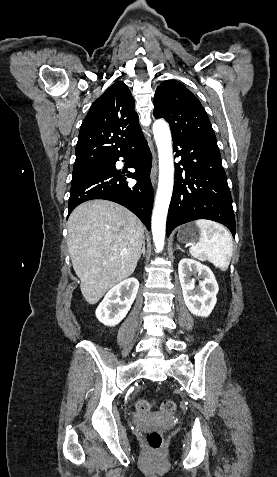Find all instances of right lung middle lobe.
Masks as SVG:
<instances>
[{
  "instance_id": "1",
  "label": "right lung middle lobe",
  "mask_w": 277,
  "mask_h": 477,
  "mask_svg": "<svg viewBox=\"0 0 277 477\" xmlns=\"http://www.w3.org/2000/svg\"><path fill=\"white\" fill-rule=\"evenodd\" d=\"M105 163H100L96 165H91V166H86V167H80V168H74L73 173H72V182L94 172L98 168L104 166Z\"/></svg>"
}]
</instances>
